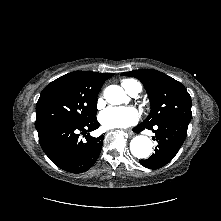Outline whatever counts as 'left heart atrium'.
<instances>
[{"instance_id": "39dd6f15", "label": "left heart atrium", "mask_w": 221, "mask_h": 221, "mask_svg": "<svg viewBox=\"0 0 221 221\" xmlns=\"http://www.w3.org/2000/svg\"><path fill=\"white\" fill-rule=\"evenodd\" d=\"M139 120V113L134 107H109L101 112L99 121L104 128H126Z\"/></svg>"}]
</instances>
